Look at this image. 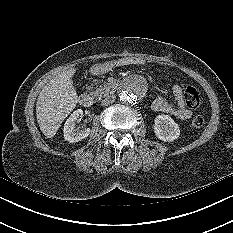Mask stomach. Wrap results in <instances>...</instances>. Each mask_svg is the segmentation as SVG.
Wrapping results in <instances>:
<instances>
[{"label": "stomach", "mask_w": 233, "mask_h": 233, "mask_svg": "<svg viewBox=\"0 0 233 233\" xmlns=\"http://www.w3.org/2000/svg\"><path fill=\"white\" fill-rule=\"evenodd\" d=\"M144 60L138 59L136 57H125L115 61H109L107 64L96 65L91 68L93 74H103L108 70H114L127 66H136L138 64H143Z\"/></svg>", "instance_id": "1"}]
</instances>
